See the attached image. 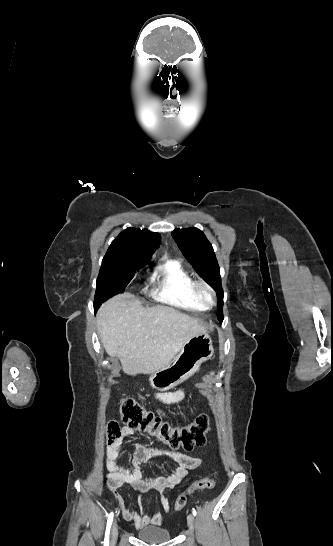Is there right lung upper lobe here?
I'll list each match as a JSON object with an SVG mask.
<instances>
[{
	"mask_svg": "<svg viewBox=\"0 0 333 546\" xmlns=\"http://www.w3.org/2000/svg\"><path fill=\"white\" fill-rule=\"evenodd\" d=\"M160 240L158 233L147 229L127 228L112 241L104 258L121 260L130 270L139 271L151 264L152 254Z\"/></svg>",
	"mask_w": 333,
	"mask_h": 546,
	"instance_id": "cb5924a9",
	"label": "right lung upper lobe"
}]
</instances>
